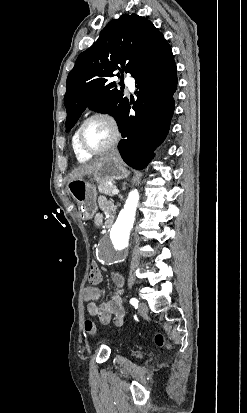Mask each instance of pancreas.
<instances>
[{"instance_id":"obj_1","label":"pancreas","mask_w":247,"mask_h":413,"mask_svg":"<svg viewBox=\"0 0 247 413\" xmlns=\"http://www.w3.org/2000/svg\"><path fill=\"white\" fill-rule=\"evenodd\" d=\"M113 188H116L115 184H109L108 180L98 184V190L99 192H103V194H112Z\"/></svg>"}]
</instances>
